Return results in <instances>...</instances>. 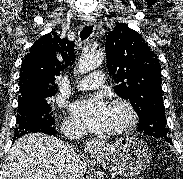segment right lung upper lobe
<instances>
[{"mask_svg":"<svg viewBox=\"0 0 183 179\" xmlns=\"http://www.w3.org/2000/svg\"><path fill=\"white\" fill-rule=\"evenodd\" d=\"M60 55L65 65L58 60ZM74 61L72 41L60 39L54 32L39 38L21 64L18 99L55 95L56 78Z\"/></svg>","mask_w":183,"mask_h":179,"instance_id":"cb5924a9","label":"right lung upper lobe"}]
</instances>
